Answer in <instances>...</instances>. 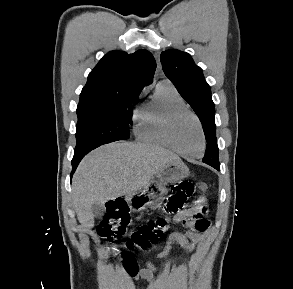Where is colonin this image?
I'll return each mask as SVG.
<instances>
[{
  "mask_svg": "<svg viewBox=\"0 0 293 289\" xmlns=\"http://www.w3.org/2000/svg\"><path fill=\"white\" fill-rule=\"evenodd\" d=\"M197 187L201 191H206L208 189L207 184L204 182H198ZM194 192L195 185L189 181H184L172 186L164 207V213L169 215L180 211L184 207L188 197L192 196ZM206 214L207 209L202 205L199 210V216L206 217ZM127 220L128 214L126 204L121 201L113 202L97 228L99 236L107 241L118 240L124 232ZM184 225L195 230L203 228V225L191 219L185 220ZM169 228V219L166 216H160L149 220L132 232L126 241V245L128 248H149L162 239L168 233ZM122 258L128 272L134 275L136 273V265L133 258L127 253H124Z\"/></svg>",
  "mask_w": 293,
  "mask_h": 289,
  "instance_id": "colon-1",
  "label": "colon"
}]
</instances>
